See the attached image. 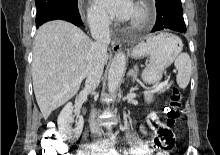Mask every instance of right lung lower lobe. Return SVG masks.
Masks as SVG:
<instances>
[{"label":"right lung lower lobe","mask_w":220,"mask_h":155,"mask_svg":"<svg viewBox=\"0 0 220 155\" xmlns=\"http://www.w3.org/2000/svg\"><path fill=\"white\" fill-rule=\"evenodd\" d=\"M57 19L71 22L76 26H81L83 24L78 10L57 8L37 15L36 26L38 28L45 22Z\"/></svg>","instance_id":"obj_1"}]
</instances>
